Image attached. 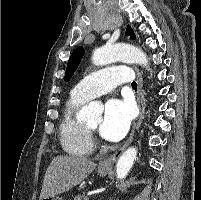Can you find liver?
<instances>
[{
    "label": "liver",
    "instance_id": "1",
    "mask_svg": "<svg viewBox=\"0 0 201 200\" xmlns=\"http://www.w3.org/2000/svg\"><path fill=\"white\" fill-rule=\"evenodd\" d=\"M95 168L96 163L83 157H55L46 170L39 200L70 190L86 179Z\"/></svg>",
    "mask_w": 201,
    "mask_h": 200
}]
</instances>
